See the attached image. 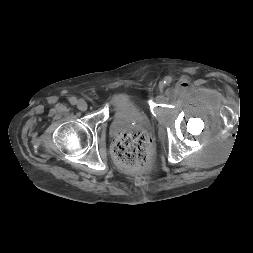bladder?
Wrapping results in <instances>:
<instances>
[{
  "label": "bladder",
  "instance_id": "obj_1",
  "mask_svg": "<svg viewBox=\"0 0 253 253\" xmlns=\"http://www.w3.org/2000/svg\"><path fill=\"white\" fill-rule=\"evenodd\" d=\"M139 95L130 89H122L115 92L111 98V106L114 109H123L129 105L136 103Z\"/></svg>",
  "mask_w": 253,
  "mask_h": 253
}]
</instances>
